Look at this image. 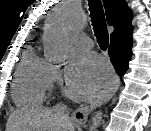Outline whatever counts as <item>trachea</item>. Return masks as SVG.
<instances>
[{
  "instance_id": "trachea-1",
  "label": "trachea",
  "mask_w": 151,
  "mask_h": 131,
  "mask_svg": "<svg viewBox=\"0 0 151 131\" xmlns=\"http://www.w3.org/2000/svg\"><path fill=\"white\" fill-rule=\"evenodd\" d=\"M91 22L97 42L102 50L108 47V30L101 0H88Z\"/></svg>"
}]
</instances>
